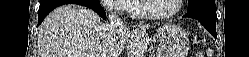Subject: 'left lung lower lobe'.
I'll list each match as a JSON object with an SVG mask.
<instances>
[{"instance_id":"left-lung-lower-lobe-1","label":"left lung lower lobe","mask_w":249,"mask_h":57,"mask_svg":"<svg viewBox=\"0 0 249 57\" xmlns=\"http://www.w3.org/2000/svg\"><path fill=\"white\" fill-rule=\"evenodd\" d=\"M184 17L198 20L215 38L216 34V7L215 3H203L188 10Z\"/></svg>"}]
</instances>
